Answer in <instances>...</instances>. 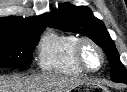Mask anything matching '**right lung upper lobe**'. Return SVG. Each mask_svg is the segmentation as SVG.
I'll return each mask as SVG.
<instances>
[{"instance_id":"cb5924a9","label":"right lung upper lobe","mask_w":127,"mask_h":92,"mask_svg":"<svg viewBox=\"0 0 127 92\" xmlns=\"http://www.w3.org/2000/svg\"><path fill=\"white\" fill-rule=\"evenodd\" d=\"M47 14L32 18L3 17L0 18V35H20L37 29H45Z\"/></svg>"}]
</instances>
